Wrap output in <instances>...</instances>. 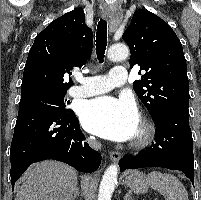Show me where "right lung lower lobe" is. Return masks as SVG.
Returning <instances> with one entry per match:
<instances>
[{
  "mask_svg": "<svg viewBox=\"0 0 201 200\" xmlns=\"http://www.w3.org/2000/svg\"><path fill=\"white\" fill-rule=\"evenodd\" d=\"M84 140L72 110L35 107L18 112L10 149L12 190L30 164L42 160H59L80 172H93L101 155Z\"/></svg>",
  "mask_w": 201,
  "mask_h": 200,
  "instance_id": "98d812e1",
  "label": "right lung lower lobe"
}]
</instances>
